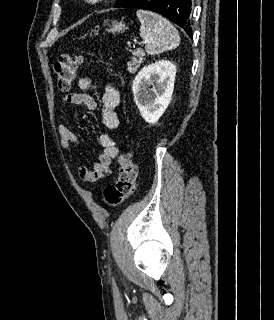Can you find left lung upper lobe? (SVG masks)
Wrapping results in <instances>:
<instances>
[{
  "label": "left lung upper lobe",
  "instance_id": "obj_1",
  "mask_svg": "<svg viewBox=\"0 0 274 320\" xmlns=\"http://www.w3.org/2000/svg\"><path fill=\"white\" fill-rule=\"evenodd\" d=\"M128 0H117L114 7H122Z\"/></svg>",
  "mask_w": 274,
  "mask_h": 320
}]
</instances>
